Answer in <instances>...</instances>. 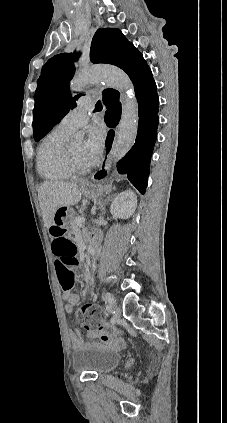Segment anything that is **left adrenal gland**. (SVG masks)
I'll return each instance as SVG.
<instances>
[{"label": "left adrenal gland", "instance_id": "a2214340", "mask_svg": "<svg viewBox=\"0 0 227 423\" xmlns=\"http://www.w3.org/2000/svg\"><path fill=\"white\" fill-rule=\"evenodd\" d=\"M101 211L102 213H106V204H102Z\"/></svg>", "mask_w": 227, "mask_h": 423}]
</instances>
